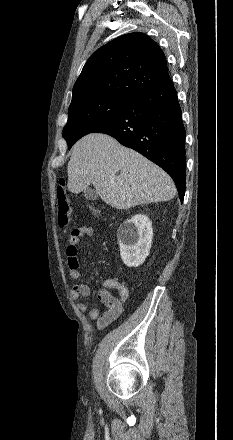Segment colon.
I'll return each mask as SVG.
<instances>
[{"instance_id": "obj_1", "label": "colon", "mask_w": 233, "mask_h": 440, "mask_svg": "<svg viewBox=\"0 0 233 440\" xmlns=\"http://www.w3.org/2000/svg\"><path fill=\"white\" fill-rule=\"evenodd\" d=\"M56 199H57V210H58V224L61 228L69 226L70 219V206L68 203L66 184L65 180L59 181L56 187ZM94 214L98 215L100 211L96 208L90 207Z\"/></svg>"}]
</instances>
